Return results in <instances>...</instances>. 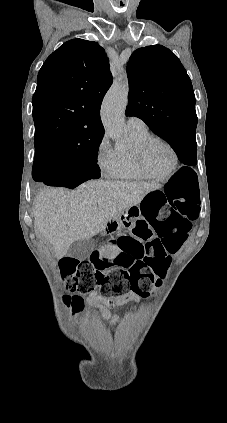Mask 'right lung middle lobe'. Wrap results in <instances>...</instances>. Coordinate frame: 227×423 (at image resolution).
Here are the masks:
<instances>
[{
    "instance_id": "1",
    "label": "right lung middle lobe",
    "mask_w": 227,
    "mask_h": 423,
    "mask_svg": "<svg viewBox=\"0 0 227 423\" xmlns=\"http://www.w3.org/2000/svg\"><path fill=\"white\" fill-rule=\"evenodd\" d=\"M103 134L89 135L53 146L35 147V159L53 160L62 170L76 173L82 178H100L97 152Z\"/></svg>"
}]
</instances>
